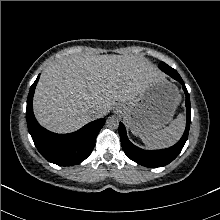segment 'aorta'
Here are the masks:
<instances>
[{
  "instance_id": "aorta-1",
  "label": "aorta",
  "mask_w": 220,
  "mask_h": 220,
  "mask_svg": "<svg viewBox=\"0 0 220 220\" xmlns=\"http://www.w3.org/2000/svg\"><path fill=\"white\" fill-rule=\"evenodd\" d=\"M106 125L110 129H117L119 126V120L117 117L111 116L106 120Z\"/></svg>"
}]
</instances>
